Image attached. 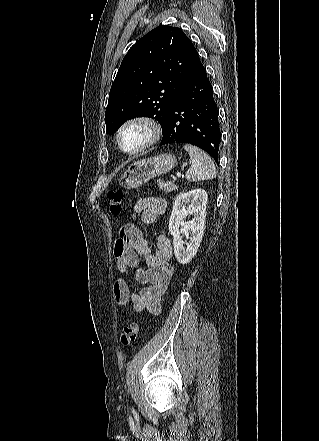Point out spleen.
I'll return each instance as SVG.
<instances>
[{
	"mask_svg": "<svg viewBox=\"0 0 319 441\" xmlns=\"http://www.w3.org/2000/svg\"><path fill=\"white\" fill-rule=\"evenodd\" d=\"M183 148L188 152L190 168L186 172V179L198 182L216 177V168L212 159L201 149L187 144Z\"/></svg>",
	"mask_w": 319,
	"mask_h": 441,
	"instance_id": "obj_1",
	"label": "spleen"
}]
</instances>
